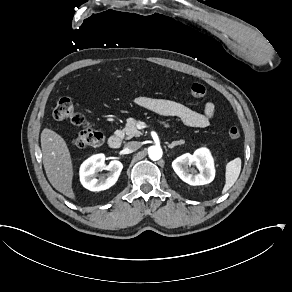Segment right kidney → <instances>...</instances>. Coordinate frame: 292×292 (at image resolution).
Here are the masks:
<instances>
[{"mask_svg":"<svg viewBox=\"0 0 292 292\" xmlns=\"http://www.w3.org/2000/svg\"><path fill=\"white\" fill-rule=\"evenodd\" d=\"M122 169L123 164L120 161L112 160L106 165L104 155H95L81 165V183L86 189L93 192L109 189L117 182ZM103 170H108V174L97 179Z\"/></svg>","mask_w":292,"mask_h":292,"instance_id":"ca27d5eb","label":"right kidney"}]
</instances>
